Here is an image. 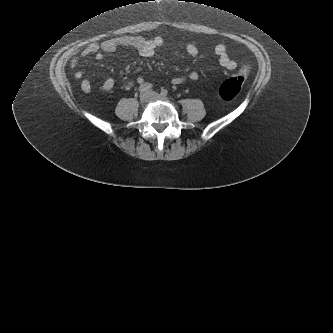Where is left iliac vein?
<instances>
[{"instance_id": "obj_1", "label": "left iliac vein", "mask_w": 333, "mask_h": 333, "mask_svg": "<svg viewBox=\"0 0 333 333\" xmlns=\"http://www.w3.org/2000/svg\"><path fill=\"white\" fill-rule=\"evenodd\" d=\"M153 99L167 100L168 98L164 95L158 94L156 92H151Z\"/></svg>"}]
</instances>
